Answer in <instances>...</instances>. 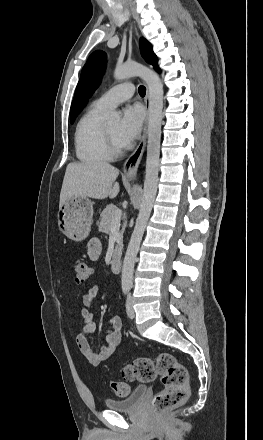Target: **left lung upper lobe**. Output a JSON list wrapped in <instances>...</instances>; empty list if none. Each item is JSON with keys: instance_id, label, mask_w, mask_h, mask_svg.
Wrapping results in <instances>:
<instances>
[{"instance_id": "obj_1", "label": "left lung upper lobe", "mask_w": 263, "mask_h": 440, "mask_svg": "<svg viewBox=\"0 0 263 440\" xmlns=\"http://www.w3.org/2000/svg\"><path fill=\"white\" fill-rule=\"evenodd\" d=\"M141 53L144 59L156 69L158 59L152 51V45L145 39L140 40ZM106 54L103 51L93 52L84 65L80 80L71 106L70 121L73 123L77 115L88 102V98L100 84L101 76L105 70Z\"/></svg>"}]
</instances>
